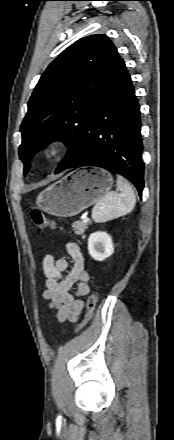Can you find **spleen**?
Returning <instances> with one entry per match:
<instances>
[{"instance_id": "1", "label": "spleen", "mask_w": 174, "mask_h": 440, "mask_svg": "<svg viewBox=\"0 0 174 440\" xmlns=\"http://www.w3.org/2000/svg\"><path fill=\"white\" fill-rule=\"evenodd\" d=\"M117 190L119 192L106 193L94 206L92 219L96 223H103L129 214L136 203L134 191L129 182L122 176H117Z\"/></svg>"}]
</instances>
